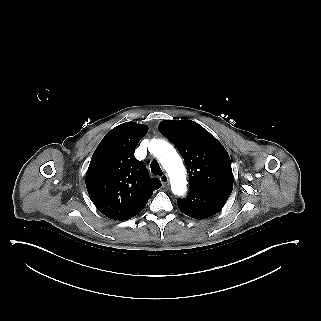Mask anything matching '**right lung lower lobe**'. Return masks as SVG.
I'll return each mask as SVG.
<instances>
[{
	"label": "right lung lower lobe",
	"mask_w": 321,
	"mask_h": 321,
	"mask_svg": "<svg viewBox=\"0 0 321 321\" xmlns=\"http://www.w3.org/2000/svg\"><path fill=\"white\" fill-rule=\"evenodd\" d=\"M143 209H141L140 211H138L137 213H135L133 216L137 215L139 212H141ZM133 216H131L130 218H132ZM128 218V219H130ZM127 220V219H126Z\"/></svg>",
	"instance_id": "98d812e1"
}]
</instances>
